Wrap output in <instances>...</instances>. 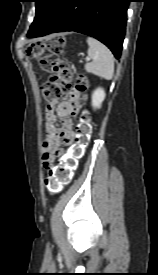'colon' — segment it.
<instances>
[{"instance_id": "obj_1", "label": "colon", "mask_w": 158, "mask_h": 275, "mask_svg": "<svg viewBox=\"0 0 158 275\" xmlns=\"http://www.w3.org/2000/svg\"><path fill=\"white\" fill-rule=\"evenodd\" d=\"M65 38L60 35L52 36L45 41H33L26 46L27 55L39 61L41 69L50 74L49 80L42 88L43 96L48 105L55 103L68 90L72 89L84 94L88 87L87 78L82 74L72 73V68L67 59L62 57ZM48 53H45V52ZM74 84L71 87L70 81ZM77 142L69 155L61 158L52 167L44 179L45 188L51 193L60 192L70 183L78 159L82 156L90 140L92 126L87 112H83L78 123Z\"/></svg>"}]
</instances>
